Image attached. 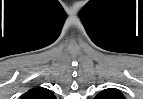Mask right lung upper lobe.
<instances>
[{
    "instance_id": "1",
    "label": "right lung upper lobe",
    "mask_w": 143,
    "mask_h": 99,
    "mask_svg": "<svg viewBox=\"0 0 143 99\" xmlns=\"http://www.w3.org/2000/svg\"><path fill=\"white\" fill-rule=\"evenodd\" d=\"M20 99H55V96L46 88L35 87L23 94Z\"/></svg>"
}]
</instances>
